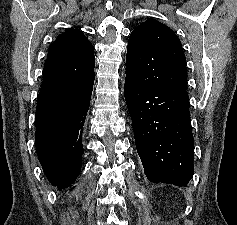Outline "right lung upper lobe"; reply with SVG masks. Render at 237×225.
<instances>
[{"mask_svg": "<svg viewBox=\"0 0 237 225\" xmlns=\"http://www.w3.org/2000/svg\"><path fill=\"white\" fill-rule=\"evenodd\" d=\"M94 47L80 31L70 28L51 44L40 93L69 91L94 80Z\"/></svg>", "mask_w": 237, "mask_h": 225, "instance_id": "right-lung-upper-lobe-1", "label": "right lung upper lobe"}]
</instances>
